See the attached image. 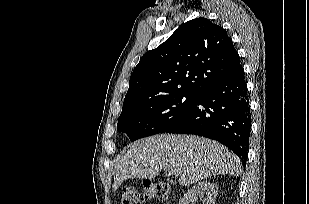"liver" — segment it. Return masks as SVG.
<instances>
[{
  "label": "liver",
  "instance_id": "liver-1",
  "mask_svg": "<svg viewBox=\"0 0 309 204\" xmlns=\"http://www.w3.org/2000/svg\"><path fill=\"white\" fill-rule=\"evenodd\" d=\"M172 168L180 185L219 175L238 176L241 161L216 141L193 135L161 134L134 142L113 171L116 191L127 179H153L162 169Z\"/></svg>",
  "mask_w": 309,
  "mask_h": 204
}]
</instances>
